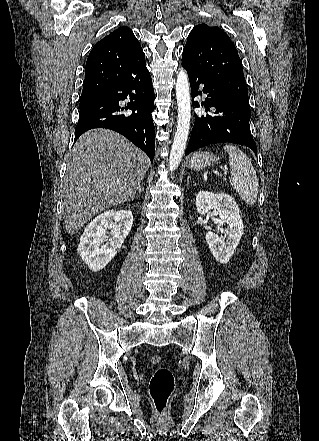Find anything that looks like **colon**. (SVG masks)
Segmentation results:
<instances>
[{"mask_svg":"<svg viewBox=\"0 0 319 441\" xmlns=\"http://www.w3.org/2000/svg\"><path fill=\"white\" fill-rule=\"evenodd\" d=\"M150 361L153 365H160L162 363V357L160 355H153ZM174 386V375L169 368L160 366L155 370L150 379L149 393L154 404L155 412L159 417H164L167 414L168 404L174 391Z\"/></svg>","mask_w":319,"mask_h":441,"instance_id":"1","label":"colon"}]
</instances>
